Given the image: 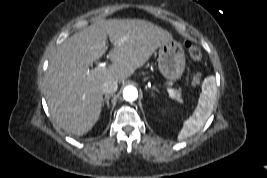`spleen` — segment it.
I'll return each mask as SVG.
<instances>
[{
  "instance_id": "spleen-1",
  "label": "spleen",
  "mask_w": 267,
  "mask_h": 178,
  "mask_svg": "<svg viewBox=\"0 0 267 178\" xmlns=\"http://www.w3.org/2000/svg\"><path fill=\"white\" fill-rule=\"evenodd\" d=\"M216 99V83L213 76L207 77L202 83V93L198 105L193 114L184 121L183 127L178 134V140L187 139L196 134L205 124Z\"/></svg>"
}]
</instances>
